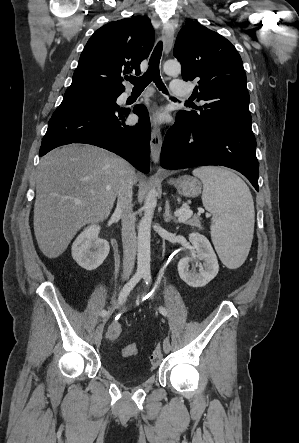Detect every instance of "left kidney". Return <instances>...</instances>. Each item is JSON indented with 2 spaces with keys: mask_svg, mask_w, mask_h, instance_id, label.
I'll use <instances>...</instances> for the list:
<instances>
[{
  "mask_svg": "<svg viewBox=\"0 0 299 443\" xmlns=\"http://www.w3.org/2000/svg\"><path fill=\"white\" fill-rule=\"evenodd\" d=\"M189 241L196 252L193 258L184 257L178 263V273L180 278L191 287H203L208 284L218 273L219 265L217 256L209 240L199 233L189 234ZM204 261L199 266V272L189 271V262L195 259Z\"/></svg>",
  "mask_w": 299,
  "mask_h": 443,
  "instance_id": "obj_1",
  "label": "left kidney"
}]
</instances>
